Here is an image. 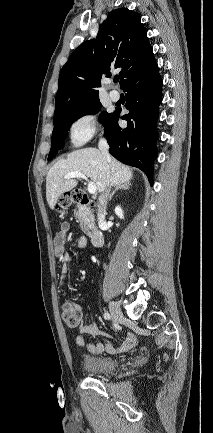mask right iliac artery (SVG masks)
<instances>
[{
	"label": "right iliac artery",
	"instance_id": "obj_1",
	"mask_svg": "<svg viewBox=\"0 0 213 433\" xmlns=\"http://www.w3.org/2000/svg\"><path fill=\"white\" fill-rule=\"evenodd\" d=\"M103 316H104V319H106V320L111 319V315L108 312H105Z\"/></svg>",
	"mask_w": 213,
	"mask_h": 433
}]
</instances>
